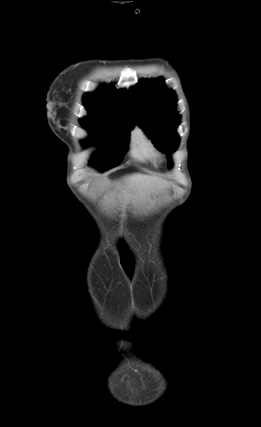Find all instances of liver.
I'll return each instance as SVG.
<instances>
[{"instance_id":"liver-1","label":"liver","mask_w":261,"mask_h":427,"mask_svg":"<svg viewBox=\"0 0 261 427\" xmlns=\"http://www.w3.org/2000/svg\"><path fill=\"white\" fill-rule=\"evenodd\" d=\"M125 182L126 189L123 190V195L128 200L135 198L137 195L144 196L145 194L151 193L154 188L160 190L168 187V183L166 181L155 176L140 173L126 177Z\"/></svg>"}]
</instances>
